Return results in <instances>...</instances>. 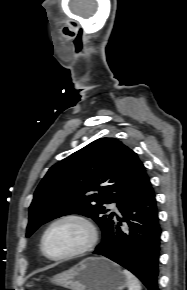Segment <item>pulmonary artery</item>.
Listing matches in <instances>:
<instances>
[{"label":"pulmonary artery","instance_id":"1","mask_svg":"<svg viewBox=\"0 0 187 290\" xmlns=\"http://www.w3.org/2000/svg\"><path fill=\"white\" fill-rule=\"evenodd\" d=\"M111 207L115 210V212L119 213L115 203L111 204Z\"/></svg>","mask_w":187,"mask_h":290}]
</instances>
